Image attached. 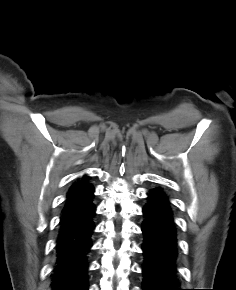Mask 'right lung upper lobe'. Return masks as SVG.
Segmentation results:
<instances>
[{
    "label": "right lung upper lobe",
    "mask_w": 236,
    "mask_h": 290,
    "mask_svg": "<svg viewBox=\"0 0 236 290\" xmlns=\"http://www.w3.org/2000/svg\"><path fill=\"white\" fill-rule=\"evenodd\" d=\"M88 179L89 177L83 176L73 184L67 194V201L62 213L79 208L91 200L94 188L88 183Z\"/></svg>",
    "instance_id": "1"
}]
</instances>
